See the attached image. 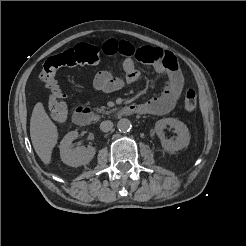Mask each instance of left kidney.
I'll list each match as a JSON object with an SVG mask.
<instances>
[{"label":"left kidney","mask_w":246,"mask_h":246,"mask_svg":"<svg viewBox=\"0 0 246 246\" xmlns=\"http://www.w3.org/2000/svg\"><path fill=\"white\" fill-rule=\"evenodd\" d=\"M167 125L175 129L177 134L175 140H168L165 138L163 130ZM155 132L161 140L163 149L167 152L173 153L189 145L190 133L188 127L183 122L175 118H163L158 120L155 124Z\"/></svg>","instance_id":"obj_1"}]
</instances>
